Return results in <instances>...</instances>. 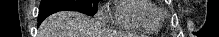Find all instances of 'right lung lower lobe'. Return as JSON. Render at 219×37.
Returning <instances> with one entry per match:
<instances>
[{
  "instance_id": "98d812e1",
  "label": "right lung lower lobe",
  "mask_w": 219,
  "mask_h": 37,
  "mask_svg": "<svg viewBox=\"0 0 219 37\" xmlns=\"http://www.w3.org/2000/svg\"><path fill=\"white\" fill-rule=\"evenodd\" d=\"M64 10L75 11V10H73L72 8L65 7V6L53 7V8H49V9H47V10H44V11H39V17H38L39 24H41V22H42L46 17H48L49 15H51V14H53V13H55V12L64 11Z\"/></svg>"
}]
</instances>
